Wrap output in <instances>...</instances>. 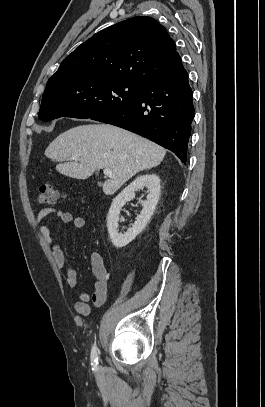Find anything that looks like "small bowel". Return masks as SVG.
Wrapping results in <instances>:
<instances>
[{
	"label": "small bowel",
	"mask_w": 265,
	"mask_h": 407,
	"mask_svg": "<svg viewBox=\"0 0 265 407\" xmlns=\"http://www.w3.org/2000/svg\"><path fill=\"white\" fill-rule=\"evenodd\" d=\"M51 215L58 216L64 224L72 223L76 229L84 228L85 220L82 217H74L70 212L50 207L42 208L36 215V223L40 227V232L45 243L51 250L56 266L59 269H65L66 283L69 287L73 288L77 284V272L71 266L66 267L63 250L53 238L47 224L48 218ZM90 262L93 275L96 278L94 291L90 292L87 289L81 290L78 294V301L74 304L75 311L82 316H88L90 314V303L95 307H101L106 301L108 292V272L102 257L99 254H94Z\"/></svg>",
	"instance_id": "small-bowel-1"
}]
</instances>
